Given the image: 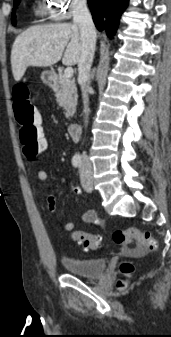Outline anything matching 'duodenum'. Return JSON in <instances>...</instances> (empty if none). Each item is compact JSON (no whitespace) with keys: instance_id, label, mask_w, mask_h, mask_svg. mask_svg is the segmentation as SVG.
<instances>
[{"instance_id":"410a0bca","label":"duodenum","mask_w":171,"mask_h":337,"mask_svg":"<svg viewBox=\"0 0 171 337\" xmlns=\"http://www.w3.org/2000/svg\"><path fill=\"white\" fill-rule=\"evenodd\" d=\"M80 132H81V125L78 123H72L68 126V133L69 135L77 140L80 137Z\"/></svg>"}]
</instances>
